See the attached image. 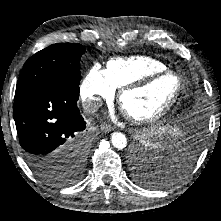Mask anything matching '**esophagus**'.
<instances>
[{
    "label": "esophagus",
    "instance_id": "obj_1",
    "mask_svg": "<svg viewBox=\"0 0 221 221\" xmlns=\"http://www.w3.org/2000/svg\"><path fill=\"white\" fill-rule=\"evenodd\" d=\"M100 129L103 132H111L113 130V128L110 125H107V124L101 125Z\"/></svg>",
    "mask_w": 221,
    "mask_h": 221
}]
</instances>
